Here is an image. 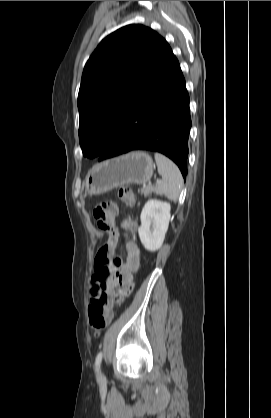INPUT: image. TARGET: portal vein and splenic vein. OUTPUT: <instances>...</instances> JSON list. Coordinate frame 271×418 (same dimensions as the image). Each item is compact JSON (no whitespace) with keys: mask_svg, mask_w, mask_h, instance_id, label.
I'll return each instance as SVG.
<instances>
[{"mask_svg":"<svg viewBox=\"0 0 271 418\" xmlns=\"http://www.w3.org/2000/svg\"><path fill=\"white\" fill-rule=\"evenodd\" d=\"M160 183H161V180H157L156 184L158 185V184H160Z\"/></svg>","mask_w":271,"mask_h":418,"instance_id":"obj_1","label":"portal vein and splenic vein"}]
</instances>
